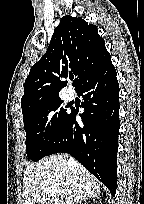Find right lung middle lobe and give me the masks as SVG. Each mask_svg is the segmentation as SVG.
<instances>
[{
    "mask_svg": "<svg viewBox=\"0 0 144 204\" xmlns=\"http://www.w3.org/2000/svg\"><path fill=\"white\" fill-rule=\"evenodd\" d=\"M60 98L53 99L23 117L26 131V153L32 161L47 156L68 116Z\"/></svg>",
    "mask_w": 144,
    "mask_h": 204,
    "instance_id": "1",
    "label": "right lung middle lobe"
}]
</instances>
